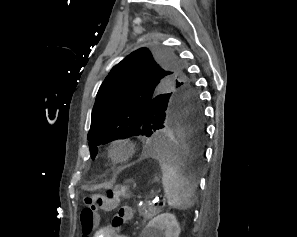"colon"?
I'll return each mask as SVG.
<instances>
[{"mask_svg": "<svg viewBox=\"0 0 297 237\" xmlns=\"http://www.w3.org/2000/svg\"><path fill=\"white\" fill-rule=\"evenodd\" d=\"M121 188L109 190L106 194L86 195L83 199L84 207L80 214V224L83 237H89L95 230L98 223L99 211H112L117 208ZM131 218V211L128 207L118 208L116 215L112 219V225L119 227Z\"/></svg>", "mask_w": 297, "mask_h": 237, "instance_id": "colon-1", "label": "colon"}]
</instances>
